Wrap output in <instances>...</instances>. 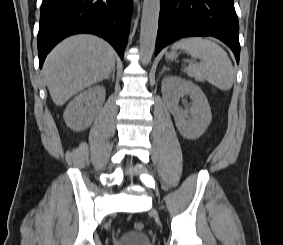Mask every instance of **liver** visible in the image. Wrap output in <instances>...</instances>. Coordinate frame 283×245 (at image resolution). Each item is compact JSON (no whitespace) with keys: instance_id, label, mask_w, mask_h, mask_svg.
I'll use <instances>...</instances> for the list:
<instances>
[{"instance_id":"1","label":"liver","mask_w":283,"mask_h":245,"mask_svg":"<svg viewBox=\"0 0 283 245\" xmlns=\"http://www.w3.org/2000/svg\"><path fill=\"white\" fill-rule=\"evenodd\" d=\"M115 69V51L93 35H75L59 43L43 66L53 102L62 106L85 88L103 81Z\"/></svg>"}]
</instances>
